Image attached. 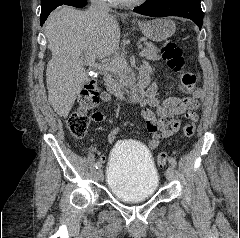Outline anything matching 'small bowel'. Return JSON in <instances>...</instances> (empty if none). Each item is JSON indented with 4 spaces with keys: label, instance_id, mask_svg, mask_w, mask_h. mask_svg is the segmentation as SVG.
Listing matches in <instances>:
<instances>
[{
    "label": "small bowel",
    "instance_id": "obj_1",
    "mask_svg": "<svg viewBox=\"0 0 240 238\" xmlns=\"http://www.w3.org/2000/svg\"><path fill=\"white\" fill-rule=\"evenodd\" d=\"M141 72H147L146 68H142ZM180 90L185 94L184 97H169L164 100H159L156 96L157 85L153 83L147 90L144 99L140 102L142 106L141 114L146 122L147 130L150 134L149 146L154 149L159 146L161 141L180 129L181 118L187 120L197 121L198 116L196 110L199 108V100L202 97V89L199 87H193L186 89L183 86H179ZM100 100L103 102H109L111 95L107 92L100 94ZM91 118L96 122H104L106 115L100 111H93ZM118 128H113L110 131L107 143L113 146L116 143V134ZM99 158L105 159V154H100Z\"/></svg>",
    "mask_w": 240,
    "mask_h": 238
}]
</instances>
